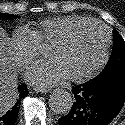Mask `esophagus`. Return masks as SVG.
<instances>
[{
    "label": "esophagus",
    "instance_id": "34e87169",
    "mask_svg": "<svg viewBox=\"0 0 125 125\" xmlns=\"http://www.w3.org/2000/svg\"><path fill=\"white\" fill-rule=\"evenodd\" d=\"M37 92H40V93H48L49 92V89H38Z\"/></svg>",
    "mask_w": 125,
    "mask_h": 125
}]
</instances>
